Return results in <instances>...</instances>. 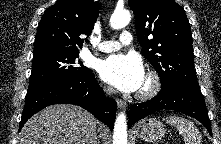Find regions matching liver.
Segmentation results:
<instances>
[{"label": "liver", "instance_id": "liver-1", "mask_svg": "<svg viewBox=\"0 0 221 144\" xmlns=\"http://www.w3.org/2000/svg\"><path fill=\"white\" fill-rule=\"evenodd\" d=\"M97 120L85 109L51 105L23 126L18 144H93Z\"/></svg>", "mask_w": 221, "mask_h": 144}]
</instances>
